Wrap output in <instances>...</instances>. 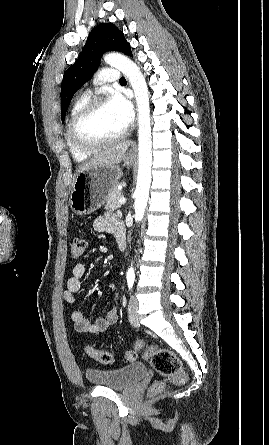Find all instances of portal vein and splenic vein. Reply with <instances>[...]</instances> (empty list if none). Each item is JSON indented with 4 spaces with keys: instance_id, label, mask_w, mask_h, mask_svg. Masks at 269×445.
Listing matches in <instances>:
<instances>
[{
    "instance_id": "portal-vein-and-splenic-vein-1",
    "label": "portal vein and splenic vein",
    "mask_w": 269,
    "mask_h": 445,
    "mask_svg": "<svg viewBox=\"0 0 269 445\" xmlns=\"http://www.w3.org/2000/svg\"><path fill=\"white\" fill-rule=\"evenodd\" d=\"M118 202L122 205L126 203V199L124 197L119 198Z\"/></svg>"
}]
</instances>
